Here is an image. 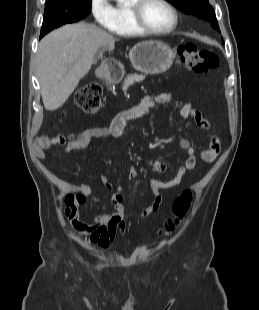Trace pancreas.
Wrapping results in <instances>:
<instances>
[{"label":"pancreas","mask_w":259,"mask_h":310,"mask_svg":"<svg viewBox=\"0 0 259 310\" xmlns=\"http://www.w3.org/2000/svg\"><path fill=\"white\" fill-rule=\"evenodd\" d=\"M143 79H144L143 75L134 74V75L128 76L123 83V88H122L123 91H126L129 86L134 84V82H140Z\"/></svg>","instance_id":"cf45deb5"}]
</instances>
